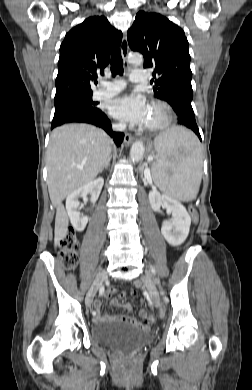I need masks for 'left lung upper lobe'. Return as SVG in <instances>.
Instances as JSON below:
<instances>
[{
	"label": "left lung upper lobe",
	"mask_w": 252,
	"mask_h": 390,
	"mask_svg": "<svg viewBox=\"0 0 252 390\" xmlns=\"http://www.w3.org/2000/svg\"><path fill=\"white\" fill-rule=\"evenodd\" d=\"M131 50L144 56V68H153L155 96L173 106L193 99L188 41L184 31L166 17L140 11L128 30Z\"/></svg>",
	"instance_id": "1"
}]
</instances>
